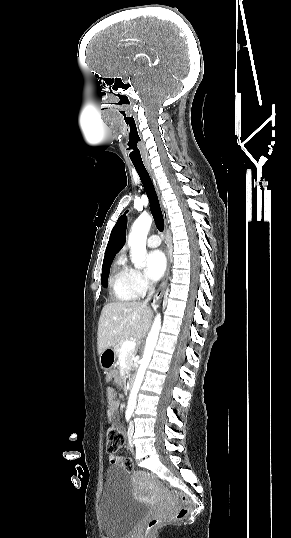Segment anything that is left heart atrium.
<instances>
[{
    "label": "left heart atrium",
    "mask_w": 291,
    "mask_h": 538,
    "mask_svg": "<svg viewBox=\"0 0 291 538\" xmlns=\"http://www.w3.org/2000/svg\"><path fill=\"white\" fill-rule=\"evenodd\" d=\"M166 268V258L162 251H151L146 258L145 274L150 281H157Z\"/></svg>",
    "instance_id": "1"
}]
</instances>
